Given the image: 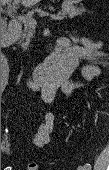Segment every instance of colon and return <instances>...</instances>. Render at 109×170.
Instances as JSON below:
<instances>
[{
	"mask_svg": "<svg viewBox=\"0 0 109 170\" xmlns=\"http://www.w3.org/2000/svg\"><path fill=\"white\" fill-rule=\"evenodd\" d=\"M29 170H38V166L36 164H31Z\"/></svg>",
	"mask_w": 109,
	"mask_h": 170,
	"instance_id": "obj_1",
	"label": "colon"
}]
</instances>
